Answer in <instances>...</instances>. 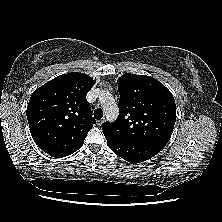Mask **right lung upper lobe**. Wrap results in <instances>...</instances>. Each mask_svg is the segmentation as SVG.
I'll return each mask as SVG.
<instances>
[{"mask_svg":"<svg viewBox=\"0 0 222 222\" xmlns=\"http://www.w3.org/2000/svg\"><path fill=\"white\" fill-rule=\"evenodd\" d=\"M95 81L82 73L60 75L36 89L27 107L31 135L52 157L71 155L96 123L86 100Z\"/></svg>","mask_w":222,"mask_h":222,"instance_id":"obj_1","label":"right lung upper lobe"}]
</instances>
